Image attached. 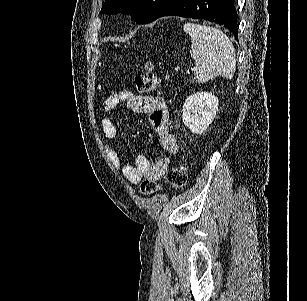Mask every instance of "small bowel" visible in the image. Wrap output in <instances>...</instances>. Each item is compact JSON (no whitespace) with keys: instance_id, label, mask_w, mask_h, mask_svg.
<instances>
[{"instance_id":"1","label":"small bowel","mask_w":307,"mask_h":301,"mask_svg":"<svg viewBox=\"0 0 307 301\" xmlns=\"http://www.w3.org/2000/svg\"><path fill=\"white\" fill-rule=\"evenodd\" d=\"M120 103H124L136 113L148 114L150 124L160 138L162 149L168 154H175L178 151L177 141L169 129L168 108L161 97L138 96L131 91L119 90L104 100L103 108L105 111H113ZM101 128L104 134L105 151L110 161L128 181L138 183L143 178L156 181L167 172L170 165L167 157L151 163L146 156L138 155L133 164H123L119 152L111 146L117 138V126L111 119L104 118Z\"/></svg>"}]
</instances>
